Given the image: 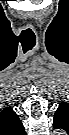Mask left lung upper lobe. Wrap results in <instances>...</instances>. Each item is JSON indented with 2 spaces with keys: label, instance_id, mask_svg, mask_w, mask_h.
<instances>
[{
  "label": "left lung upper lobe",
  "instance_id": "left-lung-upper-lobe-1",
  "mask_svg": "<svg viewBox=\"0 0 69 135\" xmlns=\"http://www.w3.org/2000/svg\"><path fill=\"white\" fill-rule=\"evenodd\" d=\"M66 105V103H62L59 108L56 111L55 117H57V115L59 114V112L61 111V108H63Z\"/></svg>",
  "mask_w": 69,
  "mask_h": 135
}]
</instances>
